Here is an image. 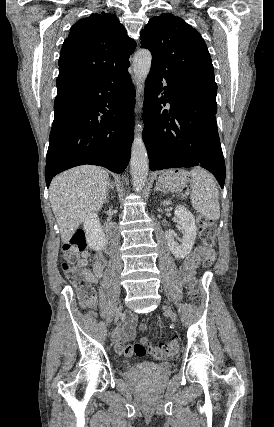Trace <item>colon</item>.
<instances>
[{
  "instance_id": "obj_1",
  "label": "colon",
  "mask_w": 274,
  "mask_h": 427,
  "mask_svg": "<svg viewBox=\"0 0 274 427\" xmlns=\"http://www.w3.org/2000/svg\"><path fill=\"white\" fill-rule=\"evenodd\" d=\"M201 233L200 243L188 256L182 269L183 277L189 288V296L192 300L199 298V288L196 281V270L198 265L202 264L205 254H212V248H215V223L207 218L200 219ZM89 243V234L84 229H75L70 234L68 241L64 244L65 259L62 262L63 271L80 286L88 288L90 276L83 271L81 265L77 262L78 254ZM120 353L131 358H144L148 354L154 359L164 360L173 358L179 351V341L172 339L164 346L152 347L146 340L134 343L116 344Z\"/></svg>"
}]
</instances>
